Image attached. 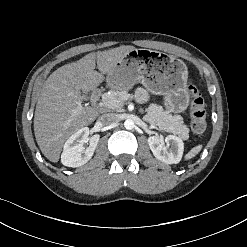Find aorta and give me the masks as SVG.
I'll return each mask as SVG.
<instances>
[{"mask_svg": "<svg viewBox=\"0 0 247 247\" xmlns=\"http://www.w3.org/2000/svg\"><path fill=\"white\" fill-rule=\"evenodd\" d=\"M134 126H135L134 121L131 120V119H127V120L124 122V127H125L126 129H128V130L133 129Z\"/></svg>", "mask_w": 247, "mask_h": 247, "instance_id": "aorta-1", "label": "aorta"}]
</instances>
